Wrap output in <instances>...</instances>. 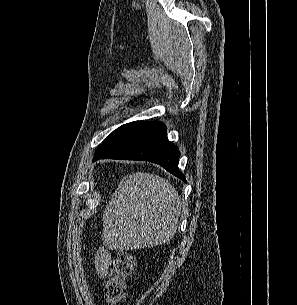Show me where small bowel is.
<instances>
[{
	"mask_svg": "<svg viewBox=\"0 0 297 305\" xmlns=\"http://www.w3.org/2000/svg\"><path fill=\"white\" fill-rule=\"evenodd\" d=\"M111 254L107 249H100L95 255L96 272L100 278H104L108 271Z\"/></svg>",
	"mask_w": 297,
	"mask_h": 305,
	"instance_id": "small-bowel-1",
	"label": "small bowel"
}]
</instances>
